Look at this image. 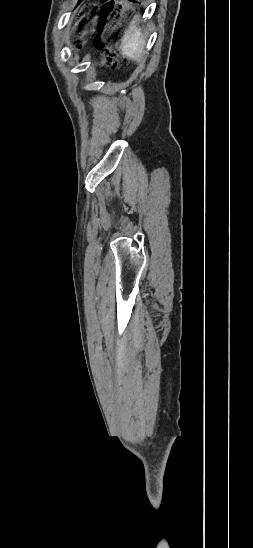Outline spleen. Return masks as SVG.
Returning <instances> with one entry per match:
<instances>
[{
    "mask_svg": "<svg viewBox=\"0 0 253 548\" xmlns=\"http://www.w3.org/2000/svg\"><path fill=\"white\" fill-rule=\"evenodd\" d=\"M144 47L145 40L143 34L136 25V19H134L130 23L129 28L122 39V55L132 60H139L142 56Z\"/></svg>",
    "mask_w": 253,
    "mask_h": 548,
    "instance_id": "1",
    "label": "spleen"
}]
</instances>
